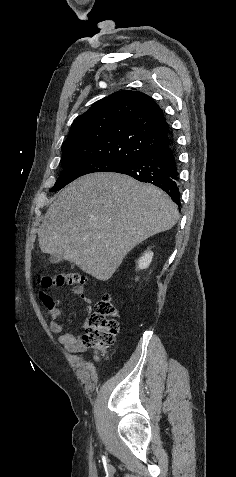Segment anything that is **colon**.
<instances>
[{
    "instance_id": "colon-1",
    "label": "colon",
    "mask_w": 236,
    "mask_h": 477,
    "mask_svg": "<svg viewBox=\"0 0 236 477\" xmlns=\"http://www.w3.org/2000/svg\"><path fill=\"white\" fill-rule=\"evenodd\" d=\"M83 276L77 272H60L41 280L43 287L65 286L81 283ZM118 311L109 296L102 297L87 319V328L83 336L85 345L104 352L114 345L120 325L116 320Z\"/></svg>"
}]
</instances>
